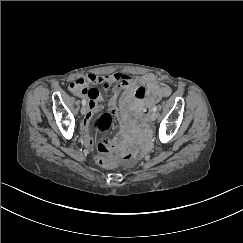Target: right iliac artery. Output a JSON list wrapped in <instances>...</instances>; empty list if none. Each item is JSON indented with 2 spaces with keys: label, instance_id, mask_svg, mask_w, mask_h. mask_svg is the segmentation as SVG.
<instances>
[{
  "label": "right iliac artery",
  "instance_id": "82829eb1",
  "mask_svg": "<svg viewBox=\"0 0 243 243\" xmlns=\"http://www.w3.org/2000/svg\"><path fill=\"white\" fill-rule=\"evenodd\" d=\"M86 104V101L83 99L82 100V105H85Z\"/></svg>",
  "mask_w": 243,
  "mask_h": 243
}]
</instances>
